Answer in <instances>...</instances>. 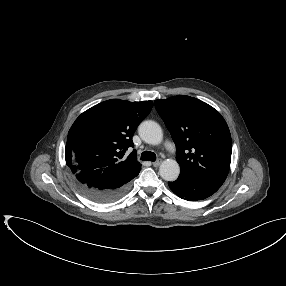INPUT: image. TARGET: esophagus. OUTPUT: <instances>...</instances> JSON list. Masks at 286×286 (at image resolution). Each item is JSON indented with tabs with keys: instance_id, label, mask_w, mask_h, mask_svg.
<instances>
[{
	"instance_id": "obj_1",
	"label": "esophagus",
	"mask_w": 286,
	"mask_h": 286,
	"mask_svg": "<svg viewBox=\"0 0 286 286\" xmlns=\"http://www.w3.org/2000/svg\"><path fill=\"white\" fill-rule=\"evenodd\" d=\"M161 162H162L161 160H157V161L153 162L152 164L154 167H158L161 164Z\"/></svg>"
}]
</instances>
